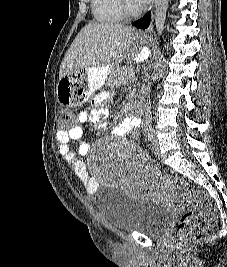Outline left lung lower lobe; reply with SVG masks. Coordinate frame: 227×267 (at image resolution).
<instances>
[{"instance_id":"left-lung-lower-lobe-1","label":"left lung lower lobe","mask_w":227,"mask_h":267,"mask_svg":"<svg viewBox=\"0 0 227 267\" xmlns=\"http://www.w3.org/2000/svg\"><path fill=\"white\" fill-rule=\"evenodd\" d=\"M150 18H151V13L148 12L143 18L134 22L133 25L141 29H146L150 24Z\"/></svg>"}]
</instances>
